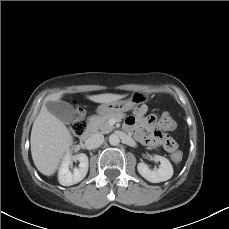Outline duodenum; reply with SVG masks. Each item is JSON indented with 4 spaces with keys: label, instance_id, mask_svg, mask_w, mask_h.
<instances>
[{
    "label": "duodenum",
    "instance_id": "obj_1",
    "mask_svg": "<svg viewBox=\"0 0 229 229\" xmlns=\"http://www.w3.org/2000/svg\"><path fill=\"white\" fill-rule=\"evenodd\" d=\"M96 120V117L94 115L88 117V124H89V127L88 129L82 134L81 136V141L85 142L87 141L90 136L95 132V128L93 127V123L95 122Z\"/></svg>",
    "mask_w": 229,
    "mask_h": 229
}]
</instances>
